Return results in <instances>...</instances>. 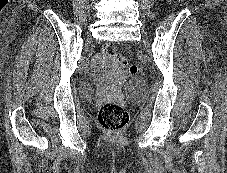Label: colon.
I'll return each instance as SVG.
<instances>
[{
    "label": "colon",
    "mask_w": 227,
    "mask_h": 173,
    "mask_svg": "<svg viewBox=\"0 0 227 173\" xmlns=\"http://www.w3.org/2000/svg\"><path fill=\"white\" fill-rule=\"evenodd\" d=\"M105 56L114 59L120 66L127 68L131 75L138 73V67L135 64L118 53L112 44H107L103 48ZM129 115L123 105L114 101L102 103L98 110V121L100 125L110 133L120 132L127 124Z\"/></svg>",
    "instance_id": "1"
}]
</instances>
